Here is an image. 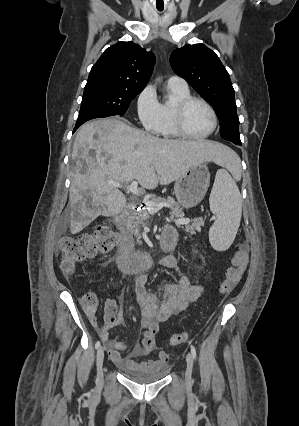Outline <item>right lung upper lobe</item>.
<instances>
[{"instance_id": "right-lung-upper-lobe-1", "label": "right lung upper lobe", "mask_w": 299, "mask_h": 426, "mask_svg": "<svg viewBox=\"0 0 299 426\" xmlns=\"http://www.w3.org/2000/svg\"><path fill=\"white\" fill-rule=\"evenodd\" d=\"M155 63L152 52L133 42L107 48L92 67L86 85L104 84L127 90H143Z\"/></svg>"}]
</instances>
